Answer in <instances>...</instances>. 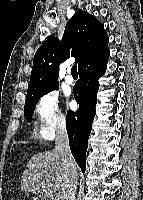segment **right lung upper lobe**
<instances>
[{
  "instance_id": "1",
  "label": "right lung upper lobe",
  "mask_w": 143,
  "mask_h": 200,
  "mask_svg": "<svg viewBox=\"0 0 143 200\" xmlns=\"http://www.w3.org/2000/svg\"><path fill=\"white\" fill-rule=\"evenodd\" d=\"M109 38L96 17L77 11L68 21L63 37H51L37 50L26 99L37 92L58 85L59 64L75 57L78 70L90 59L107 49Z\"/></svg>"
}]
</instances>
